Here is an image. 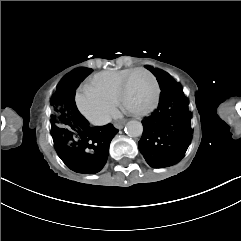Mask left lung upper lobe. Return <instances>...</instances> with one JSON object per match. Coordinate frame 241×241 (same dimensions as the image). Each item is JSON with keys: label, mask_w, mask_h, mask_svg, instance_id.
<instances>
[{"label": "left lung upper lobe", "mask_w": 241, "mask_h": 241, "mask_svg": "<svg viewBox=\"0 0 241 241\" xmlns=\"http://www.w3.org/2000/svg\"><path fill=\"white\" fill-rule=\"evenodd\" d=\"M148 70H150L156 77L158 80V83L160 85V88L163 90L166 87L172 85V84H176L177 82L166 72L159 70V69H154L152 67L149 66H145Z\"/></svg>", "instance_id": "obj_1"}]
</instances>
